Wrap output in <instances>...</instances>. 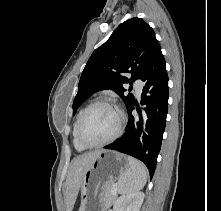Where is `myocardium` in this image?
Instances as JSON below:
<instances>
[{"label":"myocardium","instance_id":"f54148a6","mask_svg":"<svg viewBox=\"0 0 221 211\" xmlns=\"http://www.w3.org/2000/svg\"><path fill=\"white\" fill-rule=\"evenodd\" d=\"M98 106H107V107L114 109L117 112L118 117H119L118 126L114 134L110 136L108 139L98 142V143H88L84 140L83 135H82L83 124L89 112ZM124 125H125V115L122 109L110 100L99 99V100L92 102L90 105H88L83 111V113L81 114V117L78 123L77 137H78L79 142L86 148H96V147L105 146L107 144L114 142L116 139L120 137V135L123 132Z\"/></svg>","mask_w":221,"mask_h":211}]
</instances>
